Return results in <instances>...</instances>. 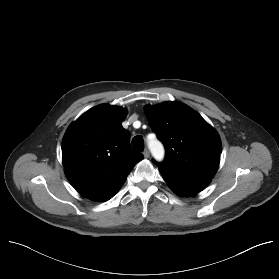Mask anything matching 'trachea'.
<instances>
[{"instance_id":"3493384b","label":"trachea","mask_w":279,"mask_h":279,"mask_svg":"<svg viewBox=\"0 0 279 279\" xmlns=\"http://www.w3.org/2000/svg\"><path fill=\"white\" fill-rule=\"evenodd\" d=\"M132 147L139 151L142 152L144 150V141L143 138L141 136H135L132 139Z\"/></svg>"}]
</instances>
